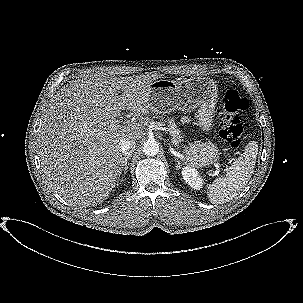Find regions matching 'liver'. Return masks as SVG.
Returning <instances> with one entry per match:
<instances>
[{"label":"liver","mask_w":303,"mask_h":303,"mask_svg":"<svg viewBox=\"0 0 303 303\" xmlns=\"http://www.w3.org/2000/svg\"><path fill=\"white\" fill-rule=\"evenodd\" d=\"M161 77L97 73L51 99L38 131L39 157L48 185L69 205L96 206L109 196L121 174L120 140L136 141L144 131L140 122L121 126L115 118L122 110L145 115L149 84ZM111 122L119 126L110 130Z\"/></svg>","instance_id":"6515ba94"}]
</instances>
